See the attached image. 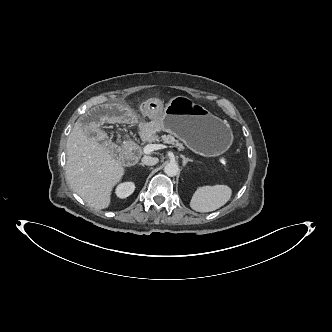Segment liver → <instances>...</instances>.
<instances>
[{
    "label": "liver",
    "mask_w": 332,
    "mask_h": 332,
    "mask_svg": "<svg viewBox=\"0 0 332 332\" xmlns=\"http://www.w3.org/2000/svg\"><path fill=\"white\" fill-rule=\"evenodd\" d=\"M66 179L71 189L91 207L110 205L113 187L125 173L110 150L90 138L76 122L66 145Z\"/></svg>",
    "instance_id": "6515ba94"
}]
</instances>
